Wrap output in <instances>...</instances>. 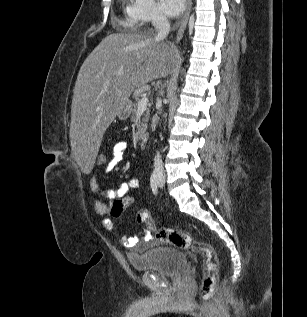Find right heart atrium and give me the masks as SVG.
<instances>
[{"label":"right heart atrium","instance_id":"obj_1","mask_svg":"<svg viewBox=\"0 0 307 317\" xmlns=\"http://www.w3.org/2000/svg\"><path fill=\"white\" fill-rule=\"evenodd\" d=\"M134 13L143 24L160 25L165 22L154 0H135Z\"/></svg>","mask_w":307,"mask_h":317}]
</instances>
